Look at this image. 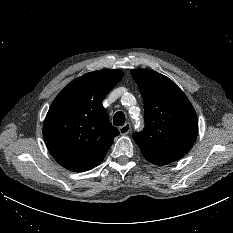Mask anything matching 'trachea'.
<instances>
[{
	"label": "trachea",
	"instance_id": "obj_1",
	"mask_svg": "<svg viewBox=\"0 0 233 233\" xmlns=\"http://www.w3.org/2000/svg\"><path fill=\"white\" fill-rule=\"evenodd\" d=\"M125 123V115L123 112L118 111L114 115L113 124L115 126H122Z\"/></svg>",
	"mask_w": 233,
	"mask_h": 233
}]
</instances>
